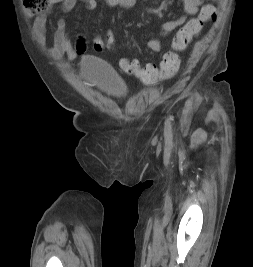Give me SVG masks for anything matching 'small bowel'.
I'll list each match as a JSON object with an SVG mask.
<instances>
[{
	"label": "small bowel",
	"mask_w": 253,
	"mask_h": 267,
	"mask_svg": "<svg viewBox=\"0 0 253 267\" xmlns=\"http://www.w3.org/2000/svg\"><path fill=\"white\" fill-rule=\"evenodd\" d=\"M78 0H62V10L64 12H70L76 5ZM84 3L87 10L92 11L97 8V0H80ZM104 3L110 7L120 9H130L135 6L137 0H103ZM184 15L168 20L162 23L160 27V33L167 35L178 28H180L188 19L189 16H193L198 13L200 7L203 4V0H180ZM45 29H46V16L40 14L36 17L34 25V33L39 44L46 48L48 54L55 59L65 57L67 61L74 60L78 54H82L87 49V44L83 36H79L75 43H72L69 38L66 22L64 19H59L56 24L54 32L53 45L46 47L45 43ZM111 31H108L110 33ZM148 48L153 52L162 51L164 44L158 38H150L147 41Z\"/></svg>",
	"instance_id": "obj_1"
}]
</instances>
